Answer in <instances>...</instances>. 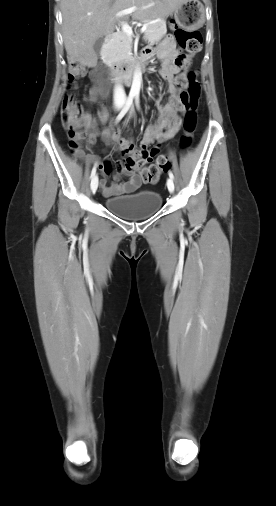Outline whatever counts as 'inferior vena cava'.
Masks as SVG:
<instances>
[{"label":"inferior vena cava","instance_id":"602c4592","mask_svg":"<svg viewBox=\"0 0 276 506\" xmlns=\"http://www.w3.org/2000/svg\"><path fill=\"white\" fill-rule=\"evenodd\" d=\"M126 100V95L123 87L118 84L114 89V101L115 102H124Z\"/></svg>","mask_w":276,"mask_h":506}]
</instances>
